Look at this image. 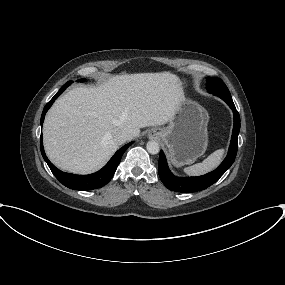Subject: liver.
<instances>
[{
    "instance_id": "liver-1",
    "label": "liver",
    "mask_w": 285,
    "mask_h": 285,
    "mask_svg": "<svg viewBox=\"0 0 285 285\" xmlns=\"http://www.w3.org/2000/svg\"><path fill=\"white\" fill-rule=\"evenodd\" d=\"M183 91L170 72L116 75L98 87H76L56 100L43 126L46 154L58 168L89 174L103 167L119 147L113 140L126 131L170 121Z\"/></svg>"
}]
</instances>
